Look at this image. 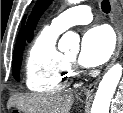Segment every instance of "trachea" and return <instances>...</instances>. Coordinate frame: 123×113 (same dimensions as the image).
Instances as JSON below:
<instances>
[{
    "mask_svg": "<svg viewBox=\"0 0 123 113\" xmlns=\"http://www.w3.org/2000/svg\"><path fill=\"white\" fill-rule=\"evenodd\" d=\"M101 9L106 14H108L110 12L111 7H110V3L108 0H103L101 2Z\"/></svg>",
    "mask_w": 123,
    "mask_h": 113,
    "instance_id": "obj_1",
    "label": "trachea"
}]
</instances>
